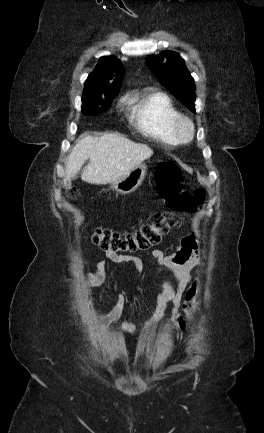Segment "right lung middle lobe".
<instances>
[{
    "instance_id": "right-lung-middle-lobe-1",
    "label": "right lung middle lobe",
    "mask_w": 264,
    "mask_h": 433,
    "mask_svg": "<svg viewBox=\"0 0 264 433\" xmlns=\"http://www.w3.org/2000/svg\"><path fill=\"white\" fill-rule=\"evenodd\" d=\"M115 96L103 99H82V113L86 115L98 114L105 111Z\"/></svg>"
}]
</instances>
